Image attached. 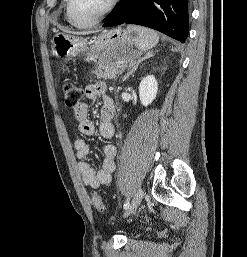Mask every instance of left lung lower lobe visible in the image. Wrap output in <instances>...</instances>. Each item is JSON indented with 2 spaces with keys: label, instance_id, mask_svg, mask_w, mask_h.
<instances>
[{
  "label": "left lung lower lobe",
  "instance_id": "left-lung-lower-lobe-1",
  "mask_svg": "<svg viewBox=\"0 0 247 257\" xmlns=\"http://www.w3.org/2000/svg\"><path fill=\"white\" fill-rule=\"evenodd\" d=\"M123 23L150 27L184 43L189 31L188 0H121L103 27Z\"/></svg>",
  "mask_w": 247,
  "mask_h": 257
}]
</instances>
